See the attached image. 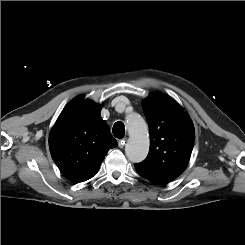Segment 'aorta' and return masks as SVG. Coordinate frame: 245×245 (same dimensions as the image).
Masks as SVG:
<instances>
[{
  "label": "aorta",
  "instance_id": "obj_1",
  "mask_svg": "<svg viewBox=\"0 0 245 245\" xmlns=\"http://www.w3.org/2000/svg\"><path fill=\"white\" fill-rule=\"evenodd\" d=\"M129 139L125 146L127 158L133 163L143 161L149 151L148 127L142 116L130 113L126 117Z\"/></svg>",
  "mask_w": 245,
  "mask_h": 245
}]
</instances>
